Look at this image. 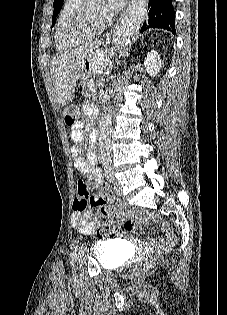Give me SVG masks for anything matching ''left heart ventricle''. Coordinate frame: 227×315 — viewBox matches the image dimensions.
Wrapping results in <instances>:
<instances>
[{
	"label": "left heart ventricle",
	"instance_id": "b2bd125f",
	"mask_svg": "<svg viewBox=\"0 0 227 315\" xmlns=\"http://www.w3.org/2000/svg\"><path fill=\"white\" fill-rule=\"evenodd\" d=\"M100 8H101V0L88 1L89 19L94 23H100L104 21L100 13Z\"/></svg>",
	"mask_w": 227,
	"mask_h": 315
}]
</instances>
